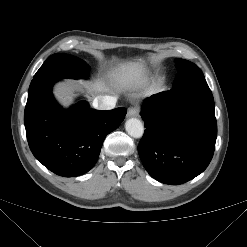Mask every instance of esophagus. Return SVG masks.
I'll return each instance as SVG.
<instances>
[{"label":"esophagus","instance_id":"obj_1","mask_svg":"<svg viewBox=\"0 0 247 247\" xmlns=\"http://www.w3.org/2000/svg\"><path fill=\"white\" fill-rule=\"evenodd\" d=\"M138 115V110L136 108H129L127 112V117H135Z\"/></svg>","mask_w":247,"mask_h":247}]
</instances>
